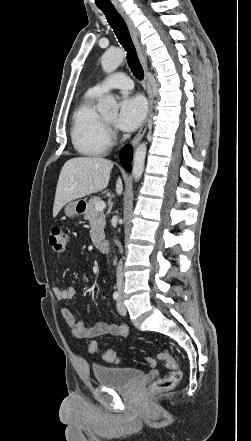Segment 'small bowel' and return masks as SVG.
I'll return each instance as SVG.
<instances>
[{
    "instance_id": "c3829d8e",
    "label": "small bowel",
    "mask_w": 251,
    "mask_h": 441,
    "mask_svg": "<svg viewBox=\"0 0 251 441\" xmlns=\"http://www.w3.org/2000/svg\"><path fill=\"white\" fill-rule=\"evenodd\" d=\"M53 293L57 300L67 301L75 296L76 289L74 287L60 288L56 286L53 288ZM61 313L67 325L78 338L91 339L102 335L125 337L128 334L127 325L98 322L93 327L87 328L68 308H62Z\"/></svg>"
}]
</instances>
